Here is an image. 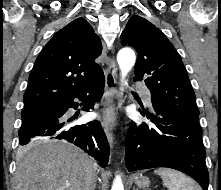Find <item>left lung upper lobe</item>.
<instances>
[{
  "label": "left lung upper lobe",
  "instance_id": "obj_1",
  "mask_svg": "<svg viewBox=\"0 0 221 190\" xmlns=\"http://www.w3.org/2000/svg\"><path fill=\"white\" fill-rule=\"evenodd\" d=\"M121 44L137 51L134 81H145L153 107L199 120L195 93L180 55L158 28L134 15L121 34Z\"/></svg>",
  "mask_w": 221,
  "mask_h": 190
}]
</instances>
